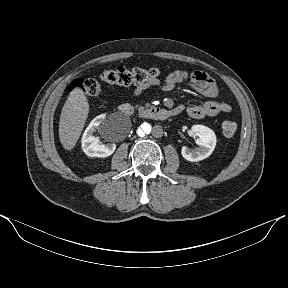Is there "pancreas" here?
Here are the masks:
<instances>
[{
    "label": "pancreas",
    "instance_id": "obj_1",
    "mask_svg": "<svg viewBox=\"0 0 288 288\" xmlns=\"http://www.w3.org/2000/svg\"><path fill=\"white\" fill-rule=\"evenodd\" d=\"M136 108H137L138 110H142V109H144L143 106H139V105H136Z\"/></svg>",
    "mask_w": 288,
    "mask_h": 288
}]
</instances>
